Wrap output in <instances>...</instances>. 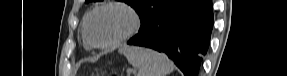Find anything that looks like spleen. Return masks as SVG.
I'll return each instance as SVG.
<instances>
[{
    "label": "spleen",
    "mask_w": 287,
    "mask_h": 76,
    "mask_svg": "<svg viewBox=\"0 0 287 76\" xmlns=\"http://www.w3.org/2000/svg\"><path fill=\"white\" fill-rule=\"evenodd\" d=\"M128 62L138 69L137 76H167L174 69L173 63L164 54L136 46L119 49Z\"/></svg>",
    "instance_id": "1"
}]
</instances>
